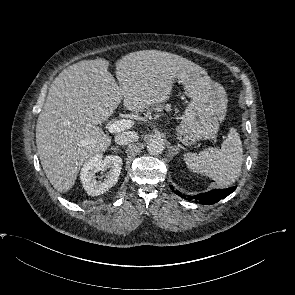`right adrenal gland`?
Instances as JSON below:
<instances>
[{"instance_id":"2a0ac1e0","label":"right adrenal gland","mask_w":295,"mask_h":295,"mask_svg":"<svg viewBox=\"0 0 295 295\" xmlns=\"http://www.w3.org/2000/svg\"><path fill=\"white\" fill-rule=\"evenodd\" d=\"M120 149L119 146L111 147V150L118 151Z\"/></svg>"}]
</instances>
